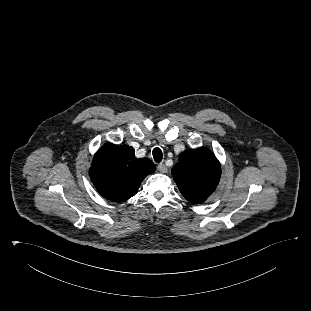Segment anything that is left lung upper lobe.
Listing matches in <instances>:
<instances>
[{"instance_id":"obj_1","label":"left lung upper lobe","mask_w":311,"mask_h":311,"mask_svg":"<svg viewBox=\"0 0 311 311\" xmlns=\"http://www.w3.org/2000/svg\"><path fill=\"white\" fill-rule=\"evenodd\" d=\"M180 192L192 204L204 202L216 189L221 176L219 161L209 149L185 150L172 169Z\"/></svg>"}]
</instances>
